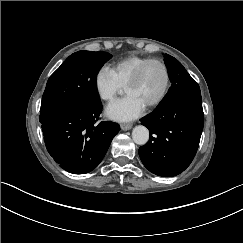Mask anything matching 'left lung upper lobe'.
Instances as JSON below:
<instances>
[{"instance_id":"5c2ea615","label":"left lung upper lobe","mask_w":243,"mask_h":243,"mask_svg":"<svg viewBox=\"0 0 243 243\" xmlns=\"http://www.w3.org/2000/svg\"><path fill=\"white\" fill-rule=\"evenodd\" d=\"M165 65L168 69V74L172 86L169 88L168 93L164 99L160 102L163 103L167 98L175 93L183 91H194L200 92L199 85L194 81L188 74L183 65L174 57L170 55H165L164 57Z\"/></svg>"}]
</instances>
